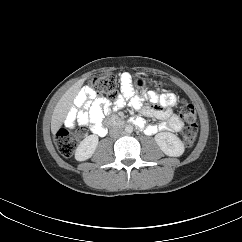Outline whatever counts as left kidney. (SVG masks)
<instances>
[{
  "mask_svg": "<svg viewBox=\"0 0 242 242\" xmlns=\"http://www.w3.org/2000/svg\"><path fill=\"white\" fill-rule=\"evenodd\" d=\"M155 141L160 149L168 156L179 157L184 153V144L170 132H160L155 135Z\"/></svg>",
  "mask_w": 242,
  "mask_h": 242,
  "instance_id": "left-kidney-1",
  "label": "left kidney"
}]
</instances>
